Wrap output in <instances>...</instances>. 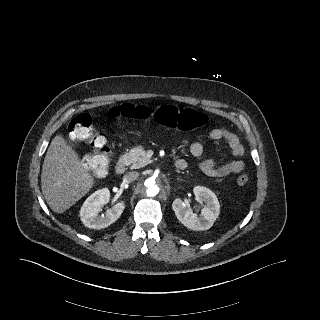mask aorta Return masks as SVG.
<instances>
[{"mask_svg": "<svg viewBox=\"0 0 320 320\" xmlns=\"http://www.w3.org/2000/svg\"><path fill=\"white\" fill-rule=\"evenodd\" d=\"M142 186L144 194L149 198L156 197L161 190L159 180L152 176H145L142 181Z\"/></svg>", "mask_w": 320, "mask_h": 320, "instance_id": "1", "label": "aorta"}]
</instances>
